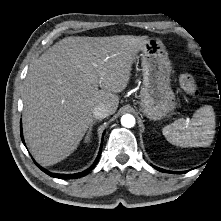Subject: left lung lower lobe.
<instances>
[{"label":"left lung lower lobe","instance_id":"left-lung-lower-lobe-1","mask_svg":"<svg viewBox=\"0 0 221 221\" xmlns=\"http://www.w3.org/2000/svg\"><path fill=\"white\" fill-rule=\"evenodd\" d=\"M154 168L157 169V170H159L160 172L172 173V172H170V171L163 170V169L158 168V167H155V166H154Z\"/></svg>","mask_w":221,"mask_h":221}]
</instances>
